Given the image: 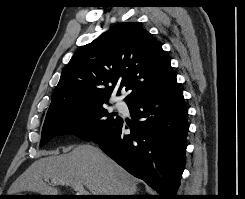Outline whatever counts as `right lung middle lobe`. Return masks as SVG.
Returning a JSON list of instances; mask_svg holds the SVG:
<instances>
[{
  "mask_svg": "<svg viewBox=\"0 0 245 199\" xmlns=\"http://www.w3.org/2000/svg\"><path fill=\"white\" fill-rule=\"evenodd\" d=\"M103 104L72 105L46 116L40 146L63 134H73L87 141L94 139L120 118L115 113H109Z\"/></svg>",
  "mask_w": 245,
  "mask_h": 199,
  "instance_id": "obj_1",
  "label": "right lung middle lobe"
}]
</instances>
